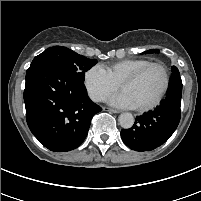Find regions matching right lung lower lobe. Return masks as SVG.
Here are the masks:
<instances>
[{
	"label": "right lung lower lobe",
	"instance_id": "obj_1",
	"mask_svg": "<svg viewBox=\"0 0 201 201\" xmlns=\"http://www.w3.org/2000/svg\"><path fill=\"white\" fill-rule=\"evenodd\" d=\"M24 102L29 129L55 152L77 148L87 136L92 117L102 110L89 99L74 72L51 63L30 65Z\"/></svg>",
	"mask_w": 201,
	"mask_h": 201
}]
</instances>
